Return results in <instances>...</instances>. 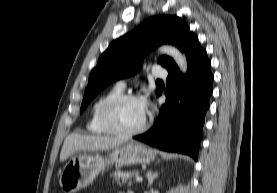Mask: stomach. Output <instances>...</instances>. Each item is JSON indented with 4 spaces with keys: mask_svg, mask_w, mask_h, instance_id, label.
<instances>
[{
    "mask_svg": "<svg viewBox=\"0 0 277 193\" xmlns=\"http://www.w3.org/2000/svg\"><path fill=\"white\" fill-rule=\"evenodd\" d=\"M154 159L153 149L134 141L113 148L105 158L98 153L76 154L60 172L59 184L64 193H75L93 183L98 174L111 164L117 167L148 164Z\"/></svg>",
    "mask_w": 277,
    "mask_h": 193,
    "instance_id": "0dacf381",
    "label": "stomach"
}]
</instances>
